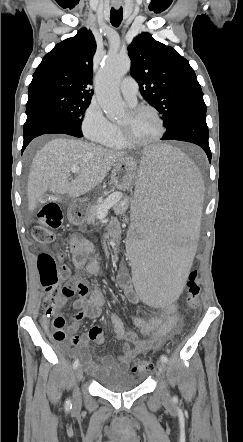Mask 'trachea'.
I'll return each instance as SVG.
<instances>
[{
	"mask_svg": "<svg viewBox=\"0 0 243 442\" xmlns=\"http://www.w3.org/2000/svg\"><path fill=\"white\" fill-rule=\"evenodd\" d=\"M123 18V9L122 7L119 9H111L110 12V22L114 27H118L121 24Z\"/></svg>",
	"mask_w": 243,
	"mask_h": 442,
	"instance_id": "3493384b",
	"label": "trachea"
}]
</instances>
